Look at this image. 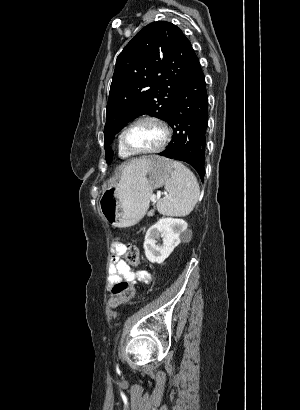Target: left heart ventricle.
<instances>
[{
	"label": "left heart ventricle",
	"mask_w": 300,
	"mask_h": 410,
	"mask_svg": "<svg viewBox=\"0 0 300 410\" xmlns=\"http://www.w3.org/2000/svg\"><path fill=\"white\" fill-rule=\"evenodd\" d=\"M163 138V131L158 124L151 121H142L133 125L126 133L127 145L137 150L155 148Z\"/></svg>",
	"instance_id": "left-heart-ventricle-1"
}]
</instances>
